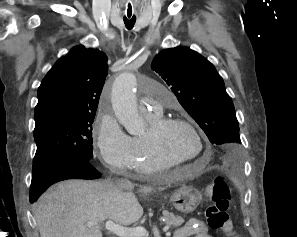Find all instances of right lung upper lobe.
<instances>
[{
    "label": "right lung upper lobe",
    "instance_id": "1",
    "mask_svg": "<svg viewBox=\"0 0 297 237\" xmlns=\"http://www.w3.org/2000/svg\"><path fill=\"white\" fill-rule=\"evenodd\" d=\"M103 52L76 46L60 58L38 88L35 123L56 115L95 114L107 75Z\"/></svg>",
    "mask_w": 297,
    "mask_h": 237
}]
</instances>
